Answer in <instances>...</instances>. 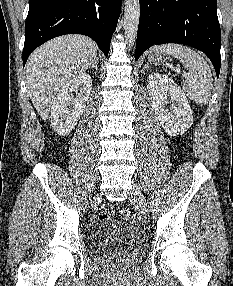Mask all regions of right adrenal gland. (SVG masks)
<instances>
[{
	"instance_id": "obj_1",
	"label": "right adrenal gland",
	"mask_w": 233,
	"mask_h": 286,
	"mask_svg": "<svg viewBox=\"0 0 233 286\" xmlns=\"http://www.w3.org/2000/svg\"><path fill=\"white\" fill-rule=\"evenodd\" d=\"M89 68L95 69V71H98V57L96 58V60L93 63V65H91Z\"/></svg>"
}]
</instances>
